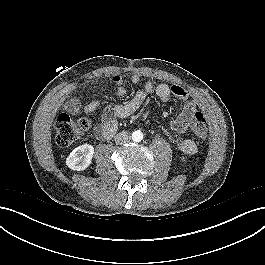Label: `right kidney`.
Returning a JSON list of instances; mask_svg holds the SVG:
<instances>
[{
	"label": "right kidney",
	"instance_id": "1",
	"mask_svg": "<svg viewBox=\"0 0 265 265\" xmlns=\"http://www.w3.org/2000/svg\"><path fill=\"white\" fill-rule=\"evenodd\" d=\"M93 154L94 147L92 145H80L69 154L66 165L72 170L83 171L91 164Z\"/></svg>",
	"mask_w": 265,
	"mask_h": 265
}]
</instances>
